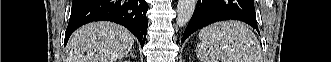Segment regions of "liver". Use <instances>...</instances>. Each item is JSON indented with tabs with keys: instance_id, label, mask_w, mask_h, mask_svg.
Masks as SVG:
<instances>
[{
	"instance_id": "obj_1",
	"label": "liver",
	"mask_w": 331,
	"mask_h": 62,
	"mask_svg": "<svg viewBox=\"0 0 331 62\" xmlns=\"http://www.w3.org/2000/svg\"><path fill=\"white\" fill-rule=\"evenodd\" d=\"M133 44V34L118 24L89 23L71 35L65 62H117L128 56Z\"/></svg>"
}]
</instances>
